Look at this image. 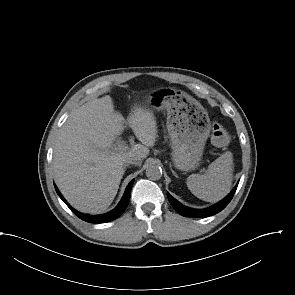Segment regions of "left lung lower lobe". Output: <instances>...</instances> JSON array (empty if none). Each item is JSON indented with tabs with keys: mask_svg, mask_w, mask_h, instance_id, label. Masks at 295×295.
Returning <instances> with one entry per match:
<instances>
[{
	"mask_svg": "<svg viewBox=\"0 0 295 295\" xmlns=\"http://www.w3.org/2000/svg\"><path fill=\"white\" fill-rule=\"evenodd\" d=\"M238 184L234 187V189L231 191V193L224 198L219 203L215 204L214 206H211L206 209H192L189 207H186L179 203L176 199H174L169 193H167V197L173 208L182 216L186 217H209L212 216L220 211H222L228 203L231 201Z\"/></svg>",
	"mask_w": 295,
	"mask_h": 295,
	"instance_id": "0a47b994",
	"label": "left lung lower lobe"
}]
</instances>
